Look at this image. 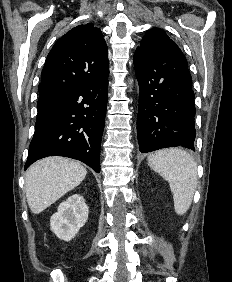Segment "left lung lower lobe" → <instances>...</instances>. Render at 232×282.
Instances as JSON below:
<instances>
[{"label":"left lung lower lobe","instance_id":"0a47b994","mask_svg":"<svg viewBox=\"0 0 232 282\" xmlns=\"http://www.w3.org/2000/svg\"><path fill=\"white\" fill-rule=\"evenodd\" d=\"M139 83L137 136L141 153L182 146L195 151L196 113L187 60L177 47L134 54Z\"/></svg>","mask_w":232,"mask_h":282}]
</instances>
